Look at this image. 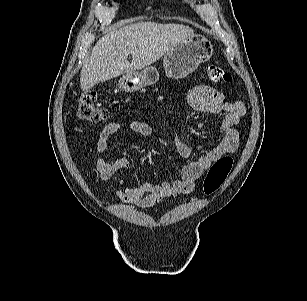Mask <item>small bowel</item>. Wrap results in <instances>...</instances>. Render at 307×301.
Masks as SVG:
<instances>
[{"label": "small bowel", "instance_id": "obj_1", "mask_svg": "<svg viewBox=\"0 0 307 301\" xmlns=\"http://www.w3.org/2000/svg\"><path fill=\"white\" fill-rule=\"evenodd\" d=\"M186 100L194 111L223 115L221 120L223 138L221 142L212 150L184 166L181 177L174 182L156 184L145 181L137 186H131L121 180V189L115 191V196L120 201L136 204L138 207L146 209L163 199L191 193L195 188L196 181L217 159L226 154H233L238 150L240 136L236 126L246 111L243 102L227 100L219 92L206 85L191 88L186 95ZM126 127L143 137H150L154 133L153 128L143 121H130L126 124ZM122 128L123 124L120 122H110L103 127L97 141V150L100 154L106 155L109 152L110 137ZM172 141L180 156L186 159L193 158L192 148L177 135H173ZM129 166L130 161L126 157H119L114 162L98 158L96 162L99 176L103 181L111 179L117 172L127 169Z\"/></svg>", "mask_w": 307, "mask_h": 301}]
</instances>
